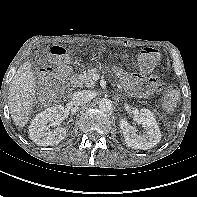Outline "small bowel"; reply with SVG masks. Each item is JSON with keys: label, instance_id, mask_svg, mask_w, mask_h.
<instances>
[{"label": "small bowel", "instance_id": "1", "mask_svg": "<svg viewBox=\"0 0 197 197\" xmlns=\"http://www.w3.org/2000/svg\"><path fill=\"white\" fill-rule=\"evenodd\" d=\"M117 73L123 86L141 97L151 96L160 88V77L158 74L147 77L139 72L127 74L123 71H118Z\"/></svg>", "mask_w": 197, "mask_h": 197}]
</instances>
